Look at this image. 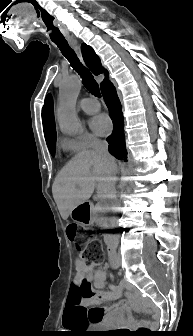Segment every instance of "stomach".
Here are the masks:
<instances>
[{
  "label": "stomach",
  "instance_id": "1",
  "mask_svg": "<svg viewBox=\"0 0 193 336\" xmlns=\"http://www.w3.org/2000/svg\"><path fill=\"white\" fill-rule=\"evenodd\" d=\"M70 216L74 221L84 226H89L95 221L92 208L87 202L77 205L71 211Z\"/></svg>",
  "mask_w": 193,
  "mask_h": 336
}]
</instances>
